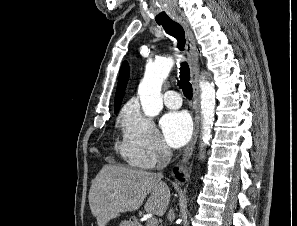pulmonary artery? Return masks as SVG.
I'll list each match as a JSON object with an SVG mask.
<instances>
[{
  "label": "pulmonary artery",
  "instance_id": "pulmonary-artery-1",
  "mask_svg": "<svg viewBox=\"0 0 297 226\" xmlns=\"http://www.w3.org/2000/svg\"><path fill=\"white\" fill-rule=\"evenodd\" d=\"M164 103L168 108L177 109L181 106L182 101L176 91L169 90L164 94Z\"/></svg>",
  "mask_w": 297,
  "mask_h": 226
}]
</instances>
